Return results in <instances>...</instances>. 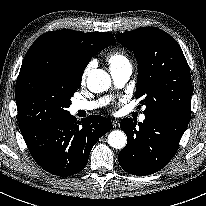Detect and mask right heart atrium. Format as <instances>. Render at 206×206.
<instances>
[{
  "label": "right heart atrium",
  "instance_id": "right-heart-atrium-1",
  "mask_svg": "<svg viewBox=\"0 0 206 206\" xmlns=\"http://www.w3.org/2000/svg\"><path fill=\"white\" fill-rule=\"evenodd\" d=\"M90 68H91V65H88V66L86 67V69H85L84 72H83L82 79H85V77H86L88 71L90 70Z\"/></svg>",
  "mask_w": 206,
  "mask_h": 206
}]
</instances>
